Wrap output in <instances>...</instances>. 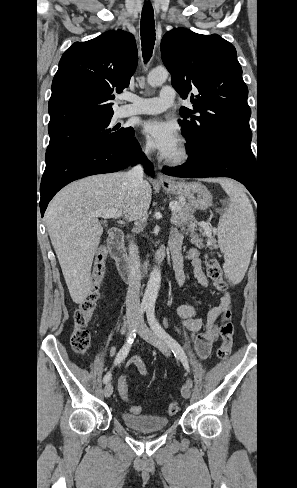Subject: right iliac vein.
<instances>
[{
  "label": "right iliac vein",
  "instance_id": "right-iliac-vein-1",
  "mask_svg": "<svg viewBox=\"0 0 297 488\" xmlns=\"http://www.w3.org/2000/svg\"><path fill=\"white\" fill-rule=\"evenodd\" d=\"M136 327V321L134 319H130L127 322V336L130 335V333L133 331V329ZM113 393V386L111 383H107L104 387V395L105 397H110L111 394Z\"/></svg>",
  "mask_w": 297,
  "mask_h": 488
}]
</instances>
